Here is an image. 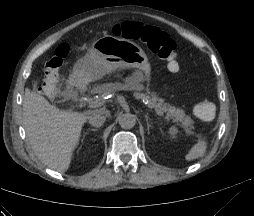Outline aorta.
<instances>
[{"instance_id": "obj_1", "label": "aorta", "mask_w": 254, "mask_h": 216, "mask_svg": "<svg viewBox=\"0 0 254 216\" xmlns=\"http://www.w3.org/2000/svg\"><path fill=\"white\" fill-rule=\"evenodd\" d=\"M119 125L124 129H131L136 124V116L131 113H121L118 116Z\"/></svg>"}]
</instances>
